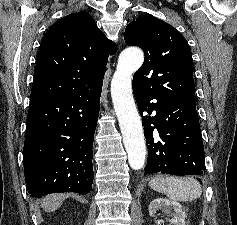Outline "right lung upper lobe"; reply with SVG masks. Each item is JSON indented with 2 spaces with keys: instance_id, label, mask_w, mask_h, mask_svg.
Segmentation results:
<instances>
[{
  "instance_id": "1",
  "label": "right lung upper lobe",
  "mask_w": 237,
  "mask_h": 225,
  "mask_svg": "<svg viewBox=\"0 0 237 225\" xmlns=\"http://www.w3.org/2000/svg\"><path fill=\"white\" fill-rule=\"evenodd\" d=\"M117 50L86 12L67 15L43 36L36 57L30 104L64 98L103 81L108 56Z\"/></svg>"
}]
</instances>
